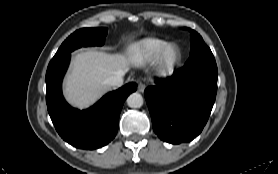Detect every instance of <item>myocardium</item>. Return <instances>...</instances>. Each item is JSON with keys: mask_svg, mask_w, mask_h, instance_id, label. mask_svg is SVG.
Masks as SVG:
<instances>
[{"mask_svg": "<svg viewBox=\"0 0 278 174\" xmlns=\"http://www.w3.org/2000/svg\"><path fill=\"white\" fill-rule=\"evenodd\" d=\"M170 49H175L177 54L174 59L167 60L166 55ZM181 60H182V53L179 46L175 43H167L158 52L154 62L160 71L164 73H169L172 72L180 64Z\"/></svg>", "mask_w": 278, "mask_h": 174, "instance_id": "f54148a6", "label": "myocardium"}]
</instances>
